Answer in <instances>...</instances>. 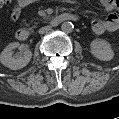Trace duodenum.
Instances as JSON below:
<instances>
[{"instance_id": "410a0bca", "label": "duodenum", "mask_w": 119, "mask_h": 119, "mask_svg": "<svg viewBox=\"0 0 119 119\" xmlns=\"http://www.w3.org/2000/svg\"><path fill=\"white\" fill-rule=\"evenodd\" d=\"M78 20V16L72 13H61L58 15L53 16L49 23L51 26L56 27L58 25H60L63 22L66 21H77ZM30 33L27 29L25 28H20L17 30L16 32V37L18 40L20 41H25L29 38Z\"/></svg>"}]
</instances>
